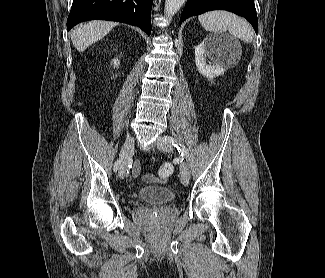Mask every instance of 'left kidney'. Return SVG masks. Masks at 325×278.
Wrapping results in <instances>:
<instances>
[{"mask_svg": "<svg viewBox=\"0 0 325 278\" xmlns=\"http://www.w3.org/2000/svg\"><path fill=\"white\" fill-rule=\"evenodd\" d=\"M231 57V58H230ZM231 44L221 36H208L195 47V63L200 74L213 79L226 71L225 61H235ZM207 58L214 63L208 64Z\"/></svg>", "mask_w": 325, "mask_h": 278, "instance_id": "1", "label": "left kidney"}]
</instances>
